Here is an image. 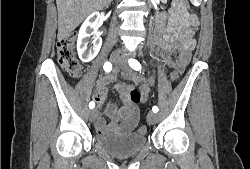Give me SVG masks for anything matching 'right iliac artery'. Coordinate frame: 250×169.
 <instances>
[{"mask_svg": "<svg viewBox=\"0 0 250 169\" xmlns=\"http://www.w3.org/2000/svg\"><path fill=\"white\" fill-rule=\"evenodd\" d=\"M103 69L105 70V72H110L112 70V64L110 62H105ZM94 107H95V103L91 101L89 103V108L93 109Z\"/></svg>", "mask_w": 250, "mask_h": 169, "instance_id": "1", "label": "right iliac artery"}]
</instances>
